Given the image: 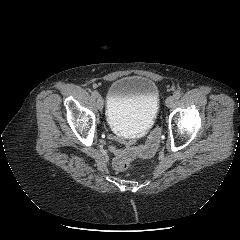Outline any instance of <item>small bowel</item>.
Masks as SVG:
<instances>
[{
  "instance_id": "small-bowel-1",
  "label": "small bowel",
  "mask_w": 240,
  "mask_h": 240,
  "mask_svg": "<svg viewBox=\"0 0 240 240\" xmlns=\"http://www.w3.org/2000/svg\"><path fill=\"white\" fill-rule=\"evenodd\" d=\"M107 145L109 147V150L116 156L122 151L121 149L115 147L116 142L113 139L108 140Z\"/></svg>"
}]
</instances>
